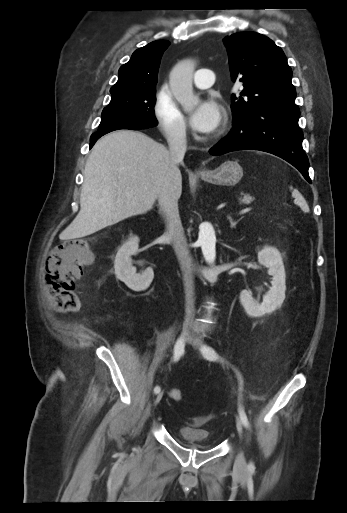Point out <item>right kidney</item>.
I'll return each instance as SVG.
<instances>
[{"label": "right kidney", "mask_w": 347, "mask_h": 513, "mask_svg": "<svg viewBox=\"0 0 347 513\" xmlns=\"http://www.w3.org/2000/svg\"><path fill=\"white\" fill-rule=\"evenodd\" d=\"M139 238L132 236L119 247L115 261V275L134 291H142L151 284L154 273L151 268L144 272L136 273V268L132 266L131 256L138 251Z\"/></svg>", "instance_id": "1"}]
</instances>
